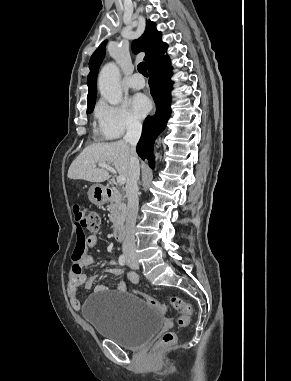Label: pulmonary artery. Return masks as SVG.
Wrapping results in <instances>:
<instances>
[{
	"mask_svg": "<svg viewBox=\"0 0 291 381\" xmlns=\"http://www.w3.org/2000/svg\"><path fill=\"white\" fill-rule=\"evenodd\" d=\"M128 85L134 90H139L145 86V81L141 74L135 73L129 78Z\"/></svg>",
	"mask_w": 291,
	"mask_h": 381,
	"instance_id": "1",
	"label": "pulmonary artery"
}]
</instances>
